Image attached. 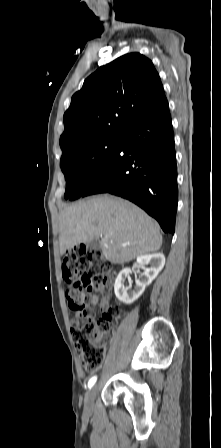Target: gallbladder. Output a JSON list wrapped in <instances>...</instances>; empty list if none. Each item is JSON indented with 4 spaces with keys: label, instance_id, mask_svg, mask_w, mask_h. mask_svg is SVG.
I'll return each mask as SVG.
<instances>
[{
    "label": "gallbladder",
    "instance_id": "1",
    "mask_svg": "<svg viewBox=\"0 0 221 448\" xmlns=\"http://www.w3.org/2000/svg\"><path fill=\"white\" fill-rule=\"evenodd\" d=\"M88 245L90 247H95V246H97V243L95 241H91V242L88 243Z\"/></svg>",
    "mask_w": 221,
    "mask_h": 448
}]
</instances>
